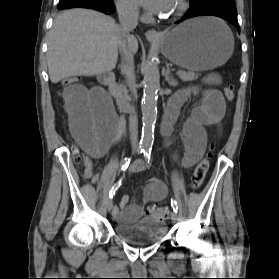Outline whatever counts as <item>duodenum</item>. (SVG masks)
<instances>
[{
  "label": "duodenum",
  "instance_id": "duodenum-1",
  "mask_svg": "<svg viewBox=\"0 0 279 279\" xmlns=\"http://www.w3.org/2000/svg\"><path fill=\"white\" fill-rule=\"evenodd\" d=\"M100 79L108 85L109 93L114 98L116 105L120 110L125 112H132L134 110V106L132 103L119 96L116 88L115 79L111 74L104 73L100 76Z\"/></svg>",
  "mask_w": 279,
  "mask_h": 279
}]
</instances>
